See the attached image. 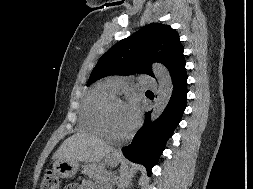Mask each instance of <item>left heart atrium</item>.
Returning a JSON list of instances; mask_svg holds the SVG:
<instances>
[{"mask_svg":"<svg viewBox=\"0 0 253 189\" xmlns=\"http://www.w3.org/2000/svg\"><path fill=\"white\" fill-rule=\"evenodd\" d=\"M126 111H127L129 119L131 120V122L134 125L137 122L138 116H139V106H138V102L135 98H132L126 104Z\"/></svg>","mask_w":253,"mask_h":189,"instance_id":"39dd6f15","label":"left heart atrium"}]
</instances>
